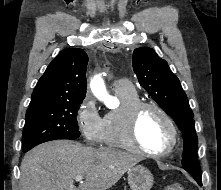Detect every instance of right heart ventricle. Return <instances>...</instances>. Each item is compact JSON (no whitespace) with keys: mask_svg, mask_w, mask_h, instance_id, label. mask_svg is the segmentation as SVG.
I'll return each instance as SVG.
<instances>
[{"mask_svg":"<svg viewBox=\"0 0 221 190\" xmlns=\"http://www.w3.org/2000/svg\"><path fill=\"white\" fill-rule=\"evenodd\" d=\"M114 93L119 99L120 105L103 117L102 144L110 149L131 151L124 135L125 116L128 108L140 102L141 98L131 84L114 87Z\"/></svg>","mask_w":221,"mask_h":190,"instance_id":"1","label":"right heart ventricle"}]
</instances>
